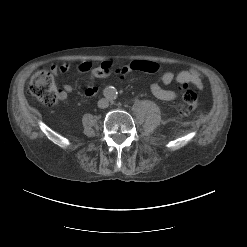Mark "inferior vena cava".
<instances>
[{"instance_id": "602c4592", "label": "inferior vena cava", "mask_w": 247, "mask_h": 247, "mask_svg": "<svg viewBox=\"0 0 247 247\" xmlns=\"http://www.w3.org/2000/svg\"><path fill=\"white\" fill-rule=\"evenodd\" d=\"M109 106V101L107 99H100L98 101V107L101 108V109H104V108H107Z\"/></svg>"}]
</instances>
